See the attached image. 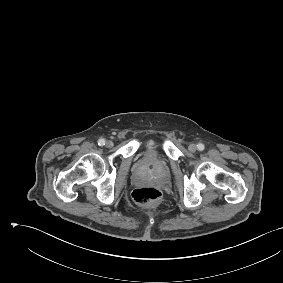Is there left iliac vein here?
<instances>
[{"instance_id": "1", "label": "left iliac vein", "mask_w": 283, "mask_h": 283, "mask_svg": "<svg viewBox=\"0 0 283 283\" xmlns=\"http://www.w3.org/2000/svg\"><path fill=\"white\" fill-rule=\"evenodd\" d=\"M188 149L190 152L194 153L197 150V146L192 143L188 146Z\"/></svg>"}]
</instances>
